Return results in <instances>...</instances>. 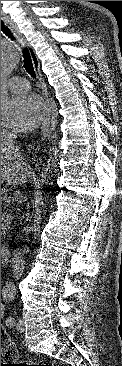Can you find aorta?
Returning a JSON list of instances; mask_svg holds the SVG:
<instances>
[{"instance_id": "obj_1", "label": "aorta", "mask_w": 122, "mask_h": 366, "mask_svg": "<svg viewBox=\"0 0 122 366\" xmlns=\"http://www.w3.org/2000/svg\"><path fill=\"white\" fill-rule=\"evenodd\" d=\"M20 63L18 51L8 42L1 43V113L7 112L10 105V97L7 88V80L13 70Z\"/></svg>"}]
</instances>
